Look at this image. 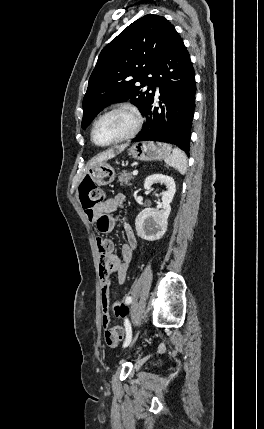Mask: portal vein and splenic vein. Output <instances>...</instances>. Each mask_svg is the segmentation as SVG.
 <instances>
[{
    "instance_id": "1",
    "label": "portal vein and splenic vein",
    "mask_w": 264,
    "mask_h": 429,
    "mask_svg": "<svg viewBox=\"0 0 264 429\" xmlns=\"http://www.w3.org/2000/svg\"><path fill=\"white\" fill-rule=\"evenodd\" d=\"M132 174H133V176H137L138 175V170H134Z\"/></svg>"
}]
</instances>
